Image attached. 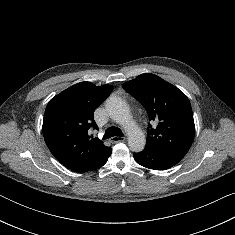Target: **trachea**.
Instances as JSON below:
<instances>
[{"label":"trachea","mask_w":235,"mask_h":235,"mask_svg":"<svg viewBox=\"0 0 235 235\" xmlns=\"http://www.w3.org/2000/svg\"><path fill=\"white\" fill-rule=\"evenodd\" d=\"M113 136H123V133L121 131V129L117 128V127H109L106 129L105 134H104V139H108L111 138Z\"/></svg>","instance_id":"trachea-1"}]
</instances>
